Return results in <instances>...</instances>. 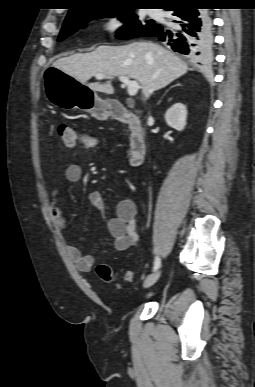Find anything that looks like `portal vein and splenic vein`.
<instances>
[{"mask_svg": "<svg viewBox=\"0 0 255 387\" xmlns=\"http://www.w3.org/2000/svg\"><path fill=\"white\" fill-rule=\"evenodd\" d=\"M97 79H103L104 74H97L95 76ZM119 80L127 86V92L129 96H135L140 88L139 83L136 80H130L127 77L119 76Z\"/></svg>", "mask_w": 255, "mask_h": 387, "instance_id": "18ae733b", "label": "portal vein and splenic vein"}]
</instances>
